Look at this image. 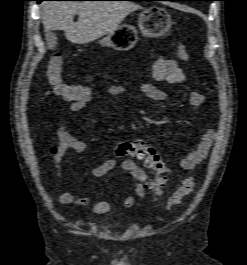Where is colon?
I'll use <instances>...</instances> for the list:
<instances>
[{
	"label": "colon",
	"instance_id": "1",
	"mask_svg": "<svg viewBox=\"0 0 247 265\" xmlns=\"http://www.w3.org/2000/svg\"><path fill=\"white\" fill-rule=\"evenodd\" d=\"M177 56L183 60H189V51L186 45L179 44L176 49ZM46 78L54 95L64 101L83 102L89 104L95 101L96 97L92 89L88 86L69 84L63 79V57L61 54H54L48 64ZM114 155L117 158L135 157L148 168L153 174V180L149 187L154 194L158 195L161 188L166 183V173L168 168L164 164L161 155L151 144L142 141H123L114 149ZM196 183L192 177L186 179L177 189L170 195L166 208L168 210L179 205L182 199L190 194Z\"/></svg>",
	"mask_w": 247,
	"mask_h": 265
}]
</instances>
